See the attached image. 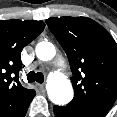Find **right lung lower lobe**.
<instances>
[{
	"mask_svg": "<svg viewBox=\"0 0 117 117\" xmlns=\"http://www.w3.org/2000/svg\"><path fill=\"white\" fill-rule=\"evenodd\" d=\"M29 104L30 102L27 105H25L14 117H25Z\"/></svg>",
	"mask_w": 117,
	"mask_h": 117,
	"instance_id": "1",
	"label": "right lung lower lobe"
}]
</instances>
